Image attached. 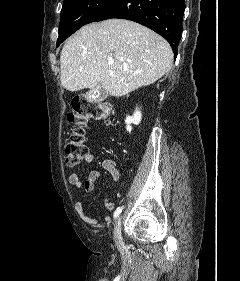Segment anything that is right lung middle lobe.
<instances>
[{
    "mask_svg": "<svg viewBox=\"0 0 240 281\" xmlns=\"http://www.w3.org/2000/svg\"><path fill=\"white\" fill-rule=\"evenodd\" d=\"M116 0H64L59 25V42L94 20Z\"/></svg>",
    "mask_w": 240,
    "mask_h": 281,
    "instance_id": "dd1d6c3e",
    "label": "right lung middle lobe"
}]
</instances>
